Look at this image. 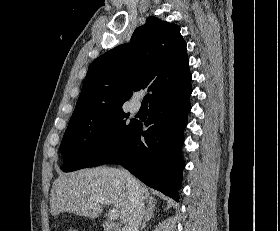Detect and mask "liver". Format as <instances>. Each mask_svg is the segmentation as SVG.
Returning <instances> with one entry per match:
<instances>
[{
    "label": "liver",
    "instance_id": "obj_1",
    "mask_svg": "<svg viewBox=\"0 0 280 231\" xmlns=\"http://www.w3.org/2000/svg\"><path fill=\"white\" fill-rule=\"evenodd\" d=\"M140 189L146 203H155L144 183H140ZM50 195L52 215L70 211L85 217H99L103 205L96 199L101 197L109 199L112 207L118 209L121 223H125L131 209L126 177L123 169L117 167H93L61 173L53 181Z\"/></svg>",
    "mask_w": 280,
    "mask_h": 231
}]
</instances>
